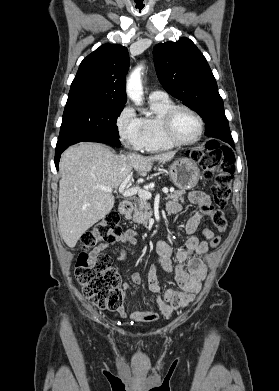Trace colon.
<instances>
[{
  "mask_svg": "<svg viewBox=\"0 0 279 391\" xmlns=\"http://www.w3.org/2000/svg\"><path fill=\"white\" fill-rule=\"evenodd\" d=\"M191 158L200 166L206 179H213L211 195L214 206L201 208L209 212L213 225L219 232H226L228 220L224 214L231 193L235 157L232 151L218 143L209 141L204 148L191 152ZM122 234L120 215L110 211L81 237L82 251L75 264V275L84 297L100 309L117 310L122 306L124 290L117 270L112 266L108 254L92 257L88 249L97 244H111ZM221 242L219 236L211 239V247Z\"/></svg>",
  "mask_w": 279,
  "mask_h": 391,
  "instance_id": "colon-1",
  "label": "colon"
}]
</instances>
